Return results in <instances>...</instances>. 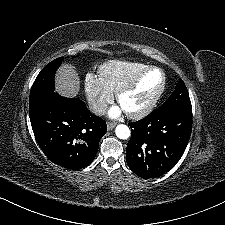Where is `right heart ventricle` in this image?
I'll list each match as a JSON object with an SVG mask.
<instances>
[{
	"mask_svg": "<svg viewBox=\"0 0 225 225\" xmlns=\"http://www.w3.org/2000/svg\"><path fill=\"white\" fill-rule=\"evenodd\" d=\"M146 67V64L140 62L110 60L99 67V74L111 92L117 94Z\"/></svg>",
	"mask_w": 225,
	"mask_h": 225,
	"instance_id": "right-heart-ventricle-1",
	"label": "right heart ventricle"
}]
</instances>
